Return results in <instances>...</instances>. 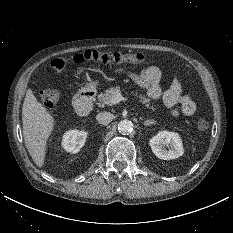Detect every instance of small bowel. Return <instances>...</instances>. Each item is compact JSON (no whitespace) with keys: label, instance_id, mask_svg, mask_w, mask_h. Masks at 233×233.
<instances>
[{"label":"small bowel","instance_id":"obj_1","mask_svg":"<svg viewBox=\"0 0 233 233\" xmlns=\"http://www.w3.org/2000/svg\"><path fill=\"white\" fill-rule=\"evenodd\" d=\"M116 73L126 74L137 85L147 90L149 100L163 98L164 104L173 115L183 114L191 116L196 111V104L189 95L183 92L182 86L177 79H173L169 88L163 92L161 88L162 74L158 67L148 66L140 73H133L123 68H117Z\"/></svg>","mask_w":233,"mask_h":233}]
</instances>
